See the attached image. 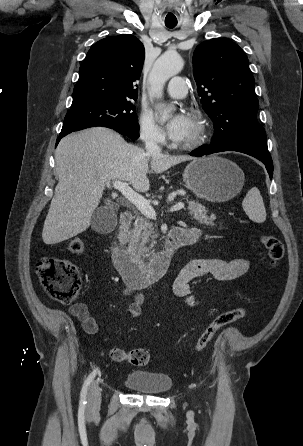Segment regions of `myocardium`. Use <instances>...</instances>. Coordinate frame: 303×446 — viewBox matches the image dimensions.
Returning a JSON list of instances; mask_svg holds the SVG:
<instances>
[{"mask_svg":"<svg viewBox=\"0 0 303 446\" xmlns=\"http://www.w3.org/2000/svg\"><path fill=\"white\" fill-rule=\"evenodd\" d=\"M190 115L195 119L197 128L191 140L178 144V147L185 150H192L202 145L207 132V123L203 113L199 109H191Z\"/></svg>","mask_w":303,"mask_h":446,"instance_id":"1","label":"myocardium"}]
</instances>
